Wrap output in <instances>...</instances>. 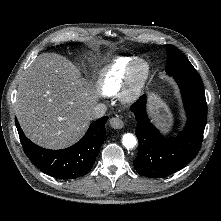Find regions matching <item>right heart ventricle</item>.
I'll return each mask as SVG.
<instances>
[{"label": "right heart ventricle", "instance_id": "e07e8e85", "mask_svg": "<svg viewBox=\"0 0 221 221\" xmlns=\"http://www.w3.org/2000/svg\"><path fill=\"white\" fill-rule=\"evenodd\" d=\"M134 57H118L101 74L99 91L104 96H114L122 88L127 69Z\"/></svg>", "mask_w": 221, "mask_h": 221}]
</instances>
